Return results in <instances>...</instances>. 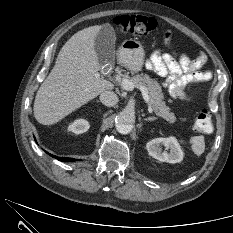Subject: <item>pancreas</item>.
<instances>
[{
    "label": "pancreas",
    "mask_w": 233,
    "mask_h": 233,
    "mask_svg": "<svg viewBox=\"0 0 233 233\" xmlns=\"http://www.w3.org/2000/svg\"><path fill=\"white\" fill-rule=\"evenodd\" d=\"M126 79L131 81L135 88H139L140 86L147 88L150 103L158 117L163 118L169 123H174L176 121L174 113L170 112V108L167 107L163 101L161 86L157 81L151 79L147 74H137Z\"/></svg>",
    "instance_id": "obj_1"
}]
</instances>
